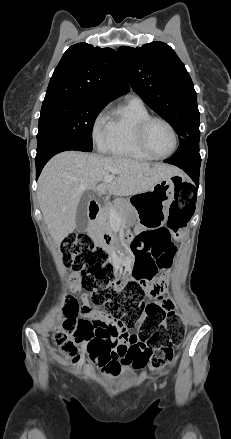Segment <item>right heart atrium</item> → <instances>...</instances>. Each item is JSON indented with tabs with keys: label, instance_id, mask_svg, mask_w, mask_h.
Wrapping results in <instances>:
<instances>
[{
	"label": "right heart atrium",
	"instance_id": "obj_1",
	"mask_svg": "<svg viewBox=\"0 0 231 439\" xmlns=\"http://www.w3.org/2000/svg\"><path fill=\"white\" fill-rule=\"evenodd\" d=\"M107 122L108 116L106 110L104 109L96 115L92 124V139L99 146L106 138Z\"/></svg>",
	"mask_w": 231,
	"mask_h": 439
}]
</instances>
